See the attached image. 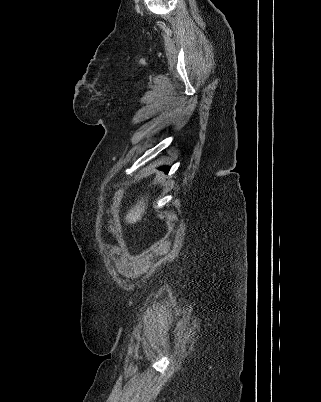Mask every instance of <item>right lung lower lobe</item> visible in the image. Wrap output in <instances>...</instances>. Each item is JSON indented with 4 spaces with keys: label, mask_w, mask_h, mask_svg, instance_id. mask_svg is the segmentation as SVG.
<instances>
[{
    "label": "right lung lower lobe",
    "mask_w": 321,
    "mask_h": 402,
    "mask_svg": "<svg viewBox=\"0 0 321 402\" xmlns=\"http://www.w3.org/2000/svg\"><path fill=\"white\" fill-rule=\"evenodd\" d=\"M163 170H164L165 172H168V171H169V167H164Z\"/></svg>",
    "instance_id": "right-lung-lower-lobe-1"
}]
</instances>
